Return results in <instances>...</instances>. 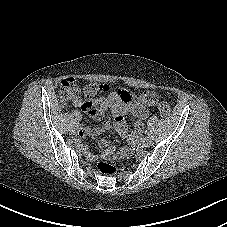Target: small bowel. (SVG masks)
<instances>
[{"label": "small bowel", "instance_id": "c3829d8e", "mask_svg": "<svg viewBox=\"0 0 227 227\" xmlns=\"http://www.w3.org/2000/svg\"><path fill=\"white\" fill-rule=\"evenodd\" d=\"M130 92L125 90H118L111 92L107 96H101L93 99L92 101H83L80 97L73 100V104L77 107H81L89 116L96 118L106 111H110L114 117V128L125 139H127L129 145H133L144 129V120L148 117L149 112L142 102L139 100L132 102L127 100L125 95ZM131 114L135 117L132 131L129 132L125 121V116ZM109 128V124L105 123L99 127H86L79 131L78 136L83 137L85 135L94 136L106 131ZM101 146L105 149L104 155L106 157L114 156L115 150L109 147L107 141H102ZM127 152V149L122 153ZM92 159L94 155L90 156Z\"/></svg>", "mask_w": 227, "mask_h": 227}]
</instances>
